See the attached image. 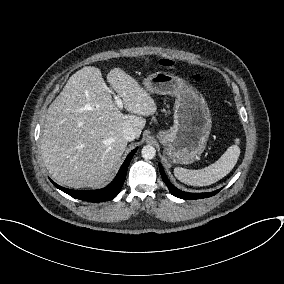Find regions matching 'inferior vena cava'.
I'll return each mask as SVG.
<instances>
[{
  "mask_svg": "<svg viewBox=\"0 0 284 284\" xmlns=\"http://www.w3.org/2000/svg\"><path fill=\"white\" fill-rule=\"evenodd\" d=\"M122 137L126 141H133L136 138V132L132 128H126L123 131Z\"/></svg>",
  "mask_w": 284,
  "mask_h": 284,
  "instance_id": "inferior-vena-cava-1",
  "label": "inferior vena cava"
}]
</instances>
